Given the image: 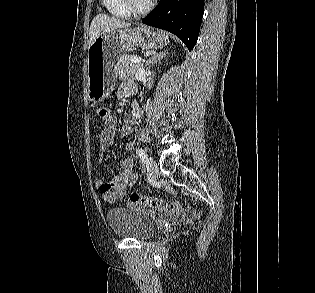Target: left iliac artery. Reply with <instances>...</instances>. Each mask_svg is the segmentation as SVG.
<instances>
[{
	"instance_id": "44dca946",
	"label": "left iliac artery",
	"mask_w": 315,
	"mask_h": 293,
	"mask_svg": "<svg viewBox=\"0 0 315 293\" xmlns=\"http://www.w3.org/2000/svg\"><path fill=\"white\" fill-rule=\"evenodd\" d=\"M138 156L140 157V159L146 163V165L148 164V155L146 154V152L142 149V148H138L136 150Z\"/></svg>"
}]
</instances>
